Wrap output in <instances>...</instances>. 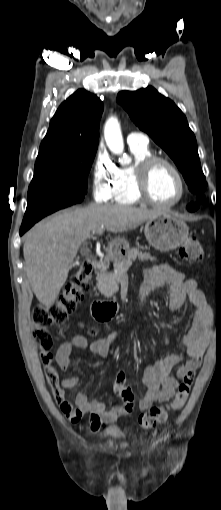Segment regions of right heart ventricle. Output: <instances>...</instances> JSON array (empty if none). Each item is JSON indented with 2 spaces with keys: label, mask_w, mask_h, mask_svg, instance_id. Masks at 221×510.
<instances>
[{
  "label": "right heart ventricle",
  "mask_w": 221,
  "mask_h": 510,
  "mask_svg": "<svg viewBox=\"0 0 221 510\" xmlns=\"http://www.w3.org/2000/svg\"><path fill=\"white\" fill-rule=\"evenodd\" d=\"M134 156L130 165L116 167V180L112 199L120 204H137L141 202L135 187V168L144 158L152 155L148 145H129Z\"/></svg>",
  "instance_id": "e07e8e85"
}]
</instances>
